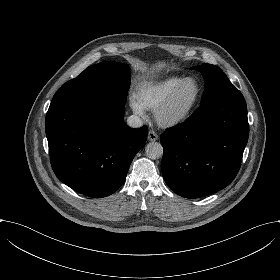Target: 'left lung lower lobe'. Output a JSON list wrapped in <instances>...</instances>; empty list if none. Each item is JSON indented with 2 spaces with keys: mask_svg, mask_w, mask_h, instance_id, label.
<instances>
[{
  "mask_svg": "<svg viewBox=\"0 0 280 280\" xmlns=\"http://www.w3.org/2000/svg\"><path fill=\"white\" fill-rule=\"evenodd\" d=\"M247 105L240 91L199 106L161 135V171L178 195L199 198L229 185L248 141Z\"/></svg>",
  "mask_w": 280,
  "mask_h": 280,
  "instance_id": "1",
  "label": "left lung lower lobe"
}]
</instances>
